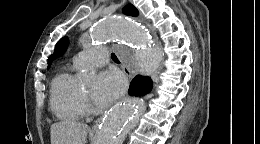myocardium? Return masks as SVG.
Segmentation results:
<instances>
[{"label":"myocardium","instance_id":"obj_1","mask_svg":"<svg viewBox=\"0 0 260 144\" xmlns=\"http://www.w3.org/2000/svg\"><path fill=\"white\" fill-rule=\"evenodd\" d=\"M83 97H84V98H88V94L83 93Z\"/></svg>","mask_w":260,"mask_h":144}]
</instances>
